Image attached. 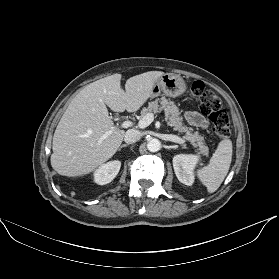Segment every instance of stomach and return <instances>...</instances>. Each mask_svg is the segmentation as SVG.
<instances>
[{
  "mask_svg": "<svg viewBox=\"0 0 279 279\" xmlns=\"http://www.w3.org/2000/svg\"><path fill=\"white\" fill-rule=\"evenodd\" d=\"M186 91V83L179 75L166 73L162 75L153 87L152 98L158 97L161 92L169 97H178Z\"/></svg>",
  "mask_w": 279,
  "mask_h": 279,
  "instance_id": "1",
  "label": "stomach"
}]
</instances>
